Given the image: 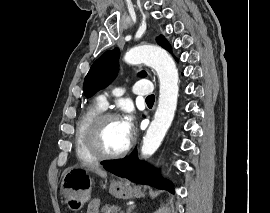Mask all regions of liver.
Segmentation results:
<instances>
[{
	"mask_svg": "<svg viewBox=\"0 0 270 213\" xmlns=\"http://www.w3.org/2000/svg\"><path fill=\"white\" fill-rule=\"evenodd\" d=\"M88 170L98 174L101 177H106L107 173L103 169H101L99 166H86Z\"/></svg>",
	"mask_w": 270,
	"mask_h": 213,
	"instance_id": "obj_1",
	"label": "liver"
}]
</instances>
